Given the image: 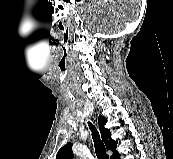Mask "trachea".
<instances>
[{
    "label": "trachea",
    "mask_w": 173,
    "mask_h": 159,
    "mask_svg": "<svg viewBox=\"0 0 173 159\" xmlns=\"http://www.w3.org/2000/svg\"><path fill=\"white\" fill-rule=\"evenodd\" d=\"M90 130L92 131V138L95 146V153L98 159H109L106 153V148L103 142L100 140L99 133L92 123H89Z\"/></svg>",
    "instance_id": "3493384b"
}]
</instances>
